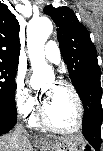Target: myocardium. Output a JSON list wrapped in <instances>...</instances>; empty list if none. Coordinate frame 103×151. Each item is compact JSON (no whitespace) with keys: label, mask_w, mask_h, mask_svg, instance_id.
I'll list each match as a JSON object with an SVG mask.
<instances>
[{"label":"myocardium","mask_w":103,"mask_h":151,"mask_svg":"<svg viewBox=\"0 0 103 151\" xmlns=\"http://www.w3.org/2000/svg\"><path fill=\"white\" fill-rule=\"evenodd\" d=\"M56 85L61 86L66 88L73 96L76 106H77V111H78V121L77 124L72 127V128H62L54 125L49 118L47 117L46 111H45V106L42 105L39 111V117L41 123L48 128L51 131L57 132V133H75L78 132L79 130L82 129L85 121V109H84V104L83 101L76 90V88L69 83L66 80H57L55 82Z\"/></svg>","instance_id":"myocardium-1"}]
</instances>
